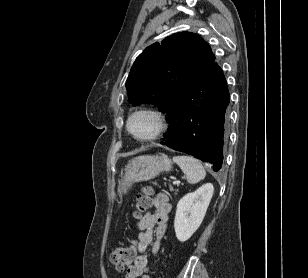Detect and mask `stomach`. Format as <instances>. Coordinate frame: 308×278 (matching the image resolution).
Returning a JSON list of instances; mask_svg holds the SVG:
<instances>
[{
	"label": "stomach",
	"instance_id": "obj_1",
	"mask_svg": "<svg viewBox=\"0 0 308 278\" xmlns=\"http://www.w3.org/2000/svg\"><path fill=\"white\" fill-rule=\"evenodd\" d=\"M171 169L172 161L166 155H143L133 158L121 172L118 192L126 193L133 183L154 179L161 172Z\"/></svg>",
	"mask_w": 308,
	"mask_h": 278
}]
</instances>
